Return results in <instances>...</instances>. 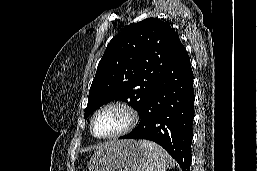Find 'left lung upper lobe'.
I'll list each match as a JSON object with an SVG mask.
<instances>
[{
  "label": "left lung upper lobe",
  "mask_w": 257,
  "mask_h": 171,
  "mask_svg": "<svg viewBox=\"0 0 257 171\" xmlns=\"http://www.w3.org/2000/svg\"><path fill=\"white\" fill-rule=\"evenodd\" d=\"M182 47L175 30L159 19L129 25L110 41L98 64L84 117L112 100L127 102L141 115Z\"/></svg>",
  "instance_id": "left-lung-upper-lobe-1"
}]
</instances>
